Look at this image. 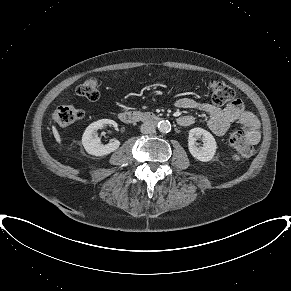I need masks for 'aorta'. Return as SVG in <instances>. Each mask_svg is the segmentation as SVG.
<instances>
[{"instance_id": "aorta-1", "label": "aorta", "mask_w": 291, "mask_h": 291, "mask_svg": "<svg viewBox=\"0 0 291 291\" xmlns=\"http://www.w3.org/2000/svg\"><path fill=\"white\" fill-rule=\"evenodd\" d=\"M157 126L158 130L162 133H168L171 130V124L169 121H160Z\"/></svg>"}]
</instances>
